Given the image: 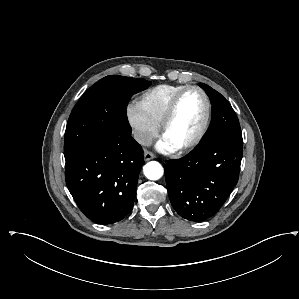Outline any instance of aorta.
Returning <instances> with one entry per match:
<instances>
[{"label":"aorta","mask_w":299,"mask_h":299,"mask_svg":"<svg viewBox=\"0 0 299 299\" xmlns=\"http://www.w3.org/2000/svg\"><path fill=\"white\" fill-rule=\"evenodd\" d=\"M144 175L149 180H158L163 176L162 165L157 161L148 162L143 168Z\"/></svg>","instance_id":"obj_1"}]
</instances>
